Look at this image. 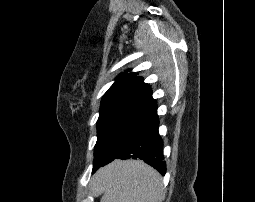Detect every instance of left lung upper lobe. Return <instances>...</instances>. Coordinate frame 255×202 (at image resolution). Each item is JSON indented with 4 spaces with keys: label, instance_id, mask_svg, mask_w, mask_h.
I'll list each match as a JSON object with an SVG mask.
<instances>
[{
    "label": "left lung upper lobe",
    "instance_id": "5c2ea615",
    "mask_svg": "<svg viewBox=\"0 0 255 202\" xmlns=\"http://www.w3.org/2000/svg\"><path fill=\"white\" fill-rule=\"evenodd\" d=\"M137 74H120L102 98L93 165L117 155L131 135L157 109L150 86Z\"/></svg>",
    "mask_w": 255,
    "mask_h": 202
}]
</instances>
